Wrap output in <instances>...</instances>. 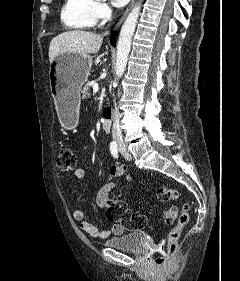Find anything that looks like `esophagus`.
Here are the masks:
<instances>
[{"label":"esophagus","mask_w":240,"mask_h":281,"mask_svg":"<svg viewBox=\"0 0 240 281\" xmlns=\"http://www.w3.org/2000/svg\"><path fill=\"white\" fill-rule=\"evenodd\" d=\"M136 0H131L129 6L127 7V9L125 10V12L123 13L122 17L119 19V22L117 24V26H119L124 19L126 18L127 14L129 13V11L132 9V7L134 6Z\"/></svg>","instance_id":"1"}]
</instances>
